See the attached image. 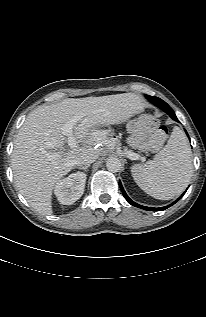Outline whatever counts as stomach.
<instances>
[{
	"instance_id": "0dacf381",
	"label": "stomach",
	"mask_w": 206,
	"mask_h": 317,
	"mask_svg": "<svg viewBox=\"0 0 206 317\" xmlns=\"http://www.w3.org/2000/svg\"><path fill=\"white\" fill-rule=\"evenodd\" d=\"M126 130L129 133L127 143L133 149L140 151H148L151 149L149 143L150 130L146 125L141 124L138 118L129 120L126 125ZM114 136V129L108 123H101L95 126L91 131V138L97 144H105Z\"/></svg>"
}]
</instances>
